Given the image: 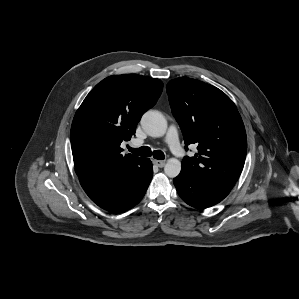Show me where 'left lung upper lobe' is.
<instances>
[{
    "instance_id": "left-lung-upper-lobe-1",
    "label": "left lung upper lobe",
    "mask_w": 299,
    "mask_h": 299,
    "mask_svg": "<svg viewBox=\"0 0 299 299\" xmlns=\"http://www.w3.org/2000/svg\"><path fill=\"white\" fill-rule=\"evenodd\" d=\"M167 94L187 146L198 153L182 160L181 171L230 191L245 162L247 138L241 116L220 89L188 77L169 81Z\"/></svg>"
}]
</instances>
